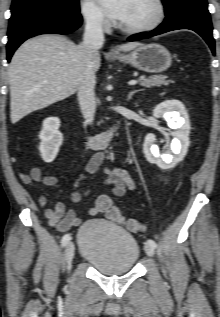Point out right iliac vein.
<instances>
[{
	"mask_svg": "<svg viewBox=\"0 0 220 317\" xmlns=\"http://www.w3.org/2000/svg\"><path fill=\"white\" fill-rule=\"evenodd\" d=\"M75 254V245L73 242H69L65 248V260L68 265V269L71 267V262Z\"/></svg>",
	"mask_w": 220,
	"mask_h": 317,
	"instance_id": "obj_1",
	"label": "right iliac vein"
}]
</instances>
